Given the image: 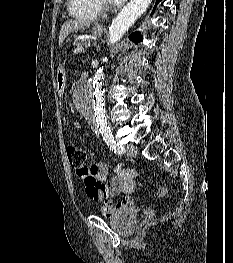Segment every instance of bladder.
I'll return each mask as SVG.
<instances>
[{"instance_id": "bladder-1", "label": "bladder", "mask_w": 233, "mask_h": 263, "mask_svg": "<svg viewBox=\"0 0 233 263\" xmlns=\"http://www.w3.org/2000/svg\"><path fill=\"white\" fill-rule=\"evenodd\" d=\"M138 214L132 208L116 210L109 216V224L112 228L122 234L130 235L133 233L137 224Z\"/></svg>"}]
</instances>
